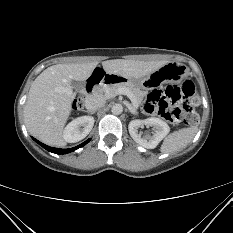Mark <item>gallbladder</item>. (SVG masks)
I'll return each mask as SVG.
<instances>
[{"mask_svg":"<svg viewBox=\"0 0 233 233\" xmlns=\"http://www.w3.org/2000/svg\"><path fill=\"white\" fill-rule=\"evenodd\" d=\"M72 86L78 92H82L84 90V87H85L84 84L82 82H79V81H72Z\"/></svg>","mask_w":233,"mask_h":233,"instance_id":"1","label":"gallbladder"}]
</instances>
